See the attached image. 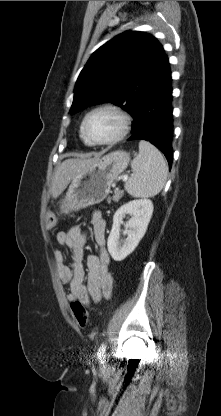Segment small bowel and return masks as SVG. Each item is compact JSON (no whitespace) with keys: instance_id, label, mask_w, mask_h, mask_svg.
<instances>
[{"instance_id":"c3829d8e","label":"small bowel","mask_w":221,"mask_h":416,"mask_svg":"<svg viewBox=\"0 0 221 416\" xmlns=\"http://www.w3.org/2000/svg\"><path fill=\"white\" fill-rule=\"evenodd\" d=\"M90 224L99 252L87 255L85 265L84 252L87 233L80 225H74L67 231L58 232L56 235L58 244L70 249L72 253L71 264H67L62 250L55 249L53 251L57 272L61 280L69 285L67 299L69 301L79 300L86 305H89L91 301L99 302L101 299H109L113 289L110 257L105 249L106 221L100 212H94ZM85 266L86 284H84Z\"/></svg>"}]
</instances>
